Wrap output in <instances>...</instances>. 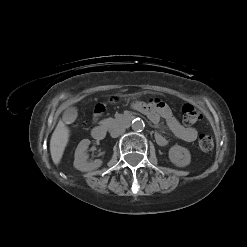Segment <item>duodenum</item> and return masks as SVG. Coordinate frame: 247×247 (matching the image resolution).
<instances>
[{"label":"duodenum","mask_w":247,"mask_h":247,"mask_svg":"<svg viewBox=\"0 0 247 247\" xmlns=\"http://www.w3.org/2000/svg\"><path fill=\"white\" fill-rule=\"evenodd\" d=\"M134 119V116L132 115H126V116H123L119 119H117L115 121L116 124H120V125H123V126H128L131 124V122L133 121ZM107 126L106 125H99V126H95L93 129H92V137L96 140H102L105 138L106 136V133H107Z\"/></svg>","instance_id":"obj_1"}]
</instances>
